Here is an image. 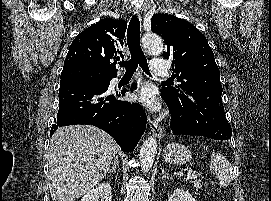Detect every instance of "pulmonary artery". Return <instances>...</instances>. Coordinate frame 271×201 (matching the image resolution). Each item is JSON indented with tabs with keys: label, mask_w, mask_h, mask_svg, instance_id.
I'll list each match as a JSON object with an SVG mask.
<instances>
[{
	"label": "pulmonary artery",
	"mask_w": 271,
	"mask_h": 201,
	"mask_svg": "<svg viewBox=\"0 0 271 201\" xmlns=\"http://www.w3.org/2000/svg\"><path fill=\"white\" fill-rule=\"evenodd\" d=\"M150 68H151V72L154 75H158V76H167L168 75L167 64L163 59L153 58L151 61Z\"/></svg>",
	"instance_id": "1"
}]
</instances>
